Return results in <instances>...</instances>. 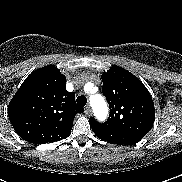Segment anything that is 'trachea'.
<instances>
[{"label": "trachea", "instance_id": "obj_1", "mask_svg": "<svg viewBox=\"0 0 182 182\" xmlns=\"http://www.w3.org/2000/svg\"><path fill=\"white\" fill-rule=\"evenodd\" d=\"M76 102H77V105L78 106L84 107L86 105V103H87V99H86V97H84L83 95H81V96H78L77 97Z\"/></svg>", "mask_w": 182, "mask_h": 182}]
</instances>
